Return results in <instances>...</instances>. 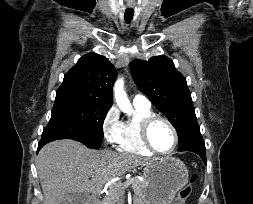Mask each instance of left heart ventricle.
<instances>
[{
  "label": "left heart ventricle",
  "instance_id": "obj_1",
  "mask_svg": "<svg viewBox=\"0 0 253 204\" xmlns=\"http://www.w3.org/2000/svg\"><path fill=\"white\" fill-rule=\"evenodd\" d=\"M149 136L153 146L159 151H169L173 145V134L163 121H156L150 128Z\"/></svg>",
  "mask_w": 253,
  "mask_h": 204
}]
</instances>
